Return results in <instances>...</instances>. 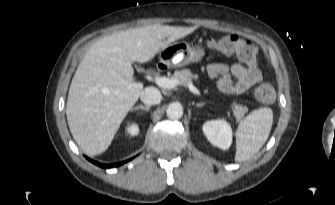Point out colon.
<instances>
[{"label":"colon","instance_id":"5ec220e1","mask_svg":"<svg viewBox=\"0 0 335 205\" xmlns=\"http://www.w3.org/2000/svg\"><path fill=\"white\" fill-rule=\"evenodd\" d=\"M209 48L225 55H236L239 60L249 67H254L257 64V47L237 35L212 39L209 42ZM255 97L259 102L269 105L275 99V91L270 84L263 83L256 88Z\"/></svg>","mask_w":335,"mask_h":205}]
</instances>
